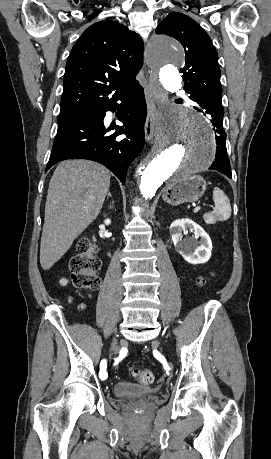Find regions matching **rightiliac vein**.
I'll list each match as a JSON object with an SVG mask.
<instances>
[{
    "mask_svg": "<svg viewBox=\"0 0 271 459\" xmlns=\"http://www.w3.org/2000/svg\"><path fill=\"white\" fill-rule=\"evenodd\" d=\"M111 349H112V353L113 354H115L118 351V345H117V341L116 340L113 341Z\"/></svg>",
    "mask_w": 271,
    "mask_h": 459,
    "instance_id": "right-iliac-vein-1",
    "label": "right iliac vein"
}]
</instances>
